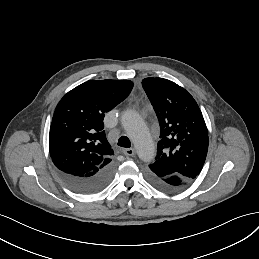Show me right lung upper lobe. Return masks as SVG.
I'll return each instance as SVG.
<instances>
[{"label": "right lung upper lobe", "mask_w": 259, "mask_h": 259, "mask_svg": "<svg viewBox=\"0 0 259 259\" xmlns=\"http://www.w3.org/2000/svg\"><path fill=\"white\" fill-rule=\"evenodd\" d=\"M132 88L129 80H93L64 95L49 133L50 156L59 170L90 175L112 161L114 151L106 139L103 119Z\"/></svg>", "instance_id": "1"}]
</instances>
